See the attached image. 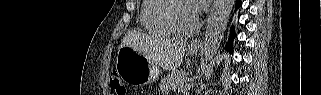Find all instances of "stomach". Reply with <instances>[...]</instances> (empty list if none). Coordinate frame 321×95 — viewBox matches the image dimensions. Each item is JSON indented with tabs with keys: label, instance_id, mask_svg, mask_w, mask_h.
I'll use <instances>...</instances> for the list:
<instances>
[{
	"label": "stomach",
	"instance_id": "0dacf381",
	"mask_svg": "<svg viewBox=\"0 0 321 95\" xmlns=\"http://www.w3.org/2000/svg\"><path fill=\"white\" fill-rule=\"evenodd\" d=\"M198 52V48L188 50L191 55H197ZM116 72L127 83L146 85L158 78L160 68L142 53L132 47L124 46L117 53Z\"/></svg>",
	"mask_w": 321,
	"mask_h": 95
}]
</instances>
